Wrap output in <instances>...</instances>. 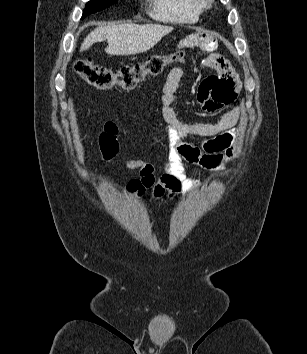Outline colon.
<instances>
[{"mask_svg": "<svg viewBox=\"0 0 307 354\" xmlns=\"http://www.w3.org/2000/svg\"><path fill=\"white\" fill-rule=\"evenodd\" d=\"M184 57L182 51L170 54H155L145 61L111 69L100 66L90 59H78L74 62V71L90 86L104 90L113 86L133 89L148 76L160 74L166 66L180 61ZM115 146L114 142H111Z\"/></svg>", "mask_w": 307, "mask_h": 354, "instance_id": "colon-1", "label": "colon"}]
</instances>
